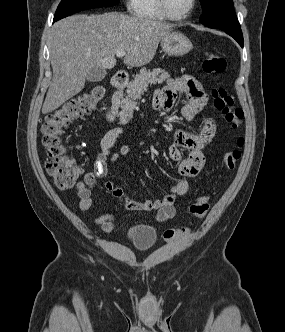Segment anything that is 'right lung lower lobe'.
I'll list each match as a JSON object with an SVG mask.
<instances>
[{
  "label": "right lung lower lobe",
  "instance_id": "obj_1",
  "mask_svg": "<svg viewBox=\"0 0 285 332\" xmlns=\"http://www.w3.org/2000/svg\"><path fill=\"white\" fill-rule=\"evenodd\" d=\"M58 19L54 18V22L57 21Z\"/></svg>",
  "mask_w": 285,
  "mask_h": 332
}]
</instances>
